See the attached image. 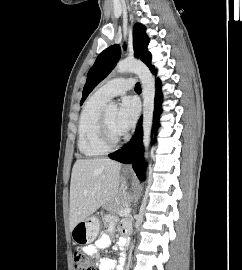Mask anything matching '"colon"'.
<instances>
[{"label": "colon", "instance_id": "obj_1", "mask_svg": "<svg viewBox=\"0 0 242 270\" xmlns=\"http://www.w3.org/2000/svg\"><path fill=\"white\" fill-rule=\"evenodd\" d=\"M74 270H95L91 256L76 252L74 254Z\"/></svg>", "mask_w": 242, "mask_h": 270}]
</instances>
